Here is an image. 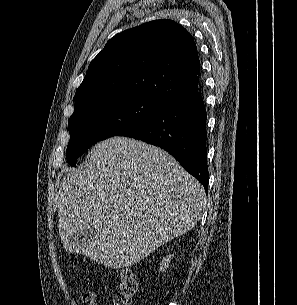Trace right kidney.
<instances>
[{
  "label": "right kidney",
  "mask_w": 297,
  "mask_h": 305,
  "mask_svg": "<svg viewBox=\"0 0 297 305\" xmlns=\"http://www.w3.org/2000/svg\"><path fill=\"white\" fill-rule=\"evenodd\" d=\"M171 258L172 255L163 258L162 262L160 263L159 271H165L168 268Z\"/></svg>",
  "instance_id": "obj_1"
}]
</instances>
